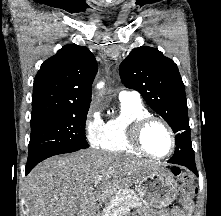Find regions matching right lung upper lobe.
Instances as JSON below:
<instances>
[{
    "label": "right lung upper lobe",
    "instance_id": "1",
    "mask_svg": "<svg viewBox=\"0 0 221 216\" xmlns=\"http://www.w3.org/2000/svg\"><path fill=\"white\" fill-rule=\"evenodd\" d=\"M97 70L88 48L64 46L41 65L34 79L31 121L89 108Z\"/></svg>",
    "mask_w": 221,
    "mask_h": 216
}]
</instances>
